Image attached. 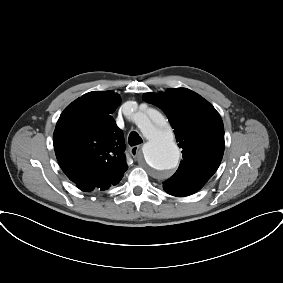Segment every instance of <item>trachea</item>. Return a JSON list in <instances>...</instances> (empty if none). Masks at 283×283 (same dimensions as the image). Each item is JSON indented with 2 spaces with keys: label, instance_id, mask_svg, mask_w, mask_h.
Here are the masks:
<instances>
[{
  "label": "trachea",
  "instance_id": "1",
  "mask_svg": "<svg viewBox=\"0 0 283 283\" xmlns=\"http://www.w3.org/2000/svg\"><path fill=\"white\" fill-rule=\"evenodd\" d=\"M130 146H135L143 142L142 138L135 131L131 132L128 138Z\"/></svg>",
  "mask_w": 283,
  "mask_h": 283
}]
</instances>
